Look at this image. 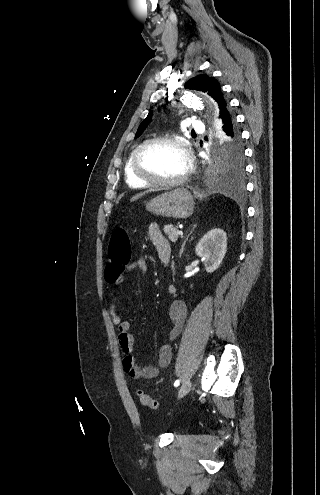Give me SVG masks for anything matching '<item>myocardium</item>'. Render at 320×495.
Returning <instances> with one entry per match:
<instances>
[{
    "label": "myocardium",
    "mask_w": 320,
    "mask_h": 495,
    "mask_svg": "<svg viewBox=\"0 0 320 495\" xmlns=\"http://www.w3.org/2000/svg\"><path fill=\"white\" fill-rule=\"evenodd\" d=\"M171 143L174 145H177L178 147L181 148L183 151L185 158H186V169L183 172V174L173 180L169 179H160L153 177L146 173L145 171L142 170L141 165H140V157L142 152L149 146L157 143ZM131 168L134 176L138 178L139 180L146 182L149 185H154V186H177L182 184L183 182L186 181L188 178L189 174L192 171V155H191V150L189 147V144L175 136L171 135H162V136H157L154 138L147 139L143 143H141L133 152L132 159H131Z\"/></svg>",
    "instance_id": "1"
}]
</instances>
